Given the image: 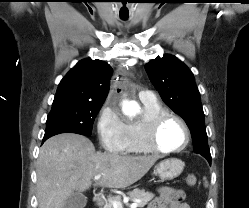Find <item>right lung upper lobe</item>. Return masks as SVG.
<instances>
[{
  "label": "right lung upper lobe",
  "mask_w": 249,
  "mask_h": 208,
  "mask_svg": "<svg viewBox=\"0 0 249 208\" xmlns=\"http://www.w3.org/2000/svg\"><path fill=\"white\" fill-rule=\"evenodd\" d=\"M111 66L101 60L83 59L59 83L52 106L67 103H103L108 94Z\"/></svg>",
  "instance_id": "right-lung-upper-lobe-1"
}]
</instances>
